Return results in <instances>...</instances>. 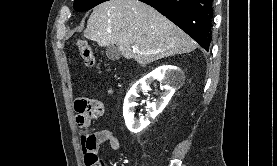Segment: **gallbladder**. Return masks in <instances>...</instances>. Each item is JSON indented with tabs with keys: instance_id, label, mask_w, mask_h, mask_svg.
I'll use <instances>...</instances> for the list:
<instances>
[{
	"instance_id": "obj_1",
	"label": "gallbladder",
	"mask_w": 277,
	"mask_h": 166,
	"mask_svg": "<svg viewBox=\"0 0 277 166\" xmlns=\"http://www.w3.org/2000/svg\"><path fill=\"white\" fill-rule=\"evenodd\" d=\"M106 55L110 60H118L120 58V51L115 45H109L106 48Z\"/></svg>"
}]
</instances>
